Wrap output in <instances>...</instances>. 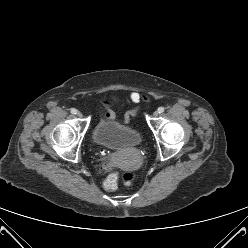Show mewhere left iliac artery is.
I'll return each mask as SVG.
<instances>
[{"instance_id":"44dca946","label":"left iliac artery","mask_w":248,"mask_h":248,"mask_svg":"<svg viewBox=\"0 0 248 248\" xmlns=\"http://www.w3.org/2000/svg\"><path fill=\"white\" fill-rule=\"evenodd\" d=\"M164 110H165V108H164V107H159V108H158V112H159V113H163V112H164Z\"/></svg>"}]
</instances>
